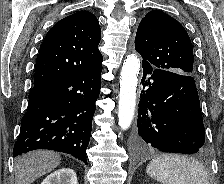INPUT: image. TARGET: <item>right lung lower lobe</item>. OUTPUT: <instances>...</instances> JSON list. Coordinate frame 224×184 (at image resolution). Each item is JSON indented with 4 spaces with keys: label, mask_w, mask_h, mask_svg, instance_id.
Instances as JSON below:
<instances>
[{
    "label": "right lung lower lobe",
    "mask_w": 224,
    "mask_h": 184,
    "mask_svg": "<svg viewBox=\"0 0 224 184\" xmlns=\"http://www.w3.org/2000/svg\"><path fill=\"white\" fill-rule=\"evenodd\" d=\"M102 66L94 71L34 84L13 156L35 149L65 152L87 164Z\"/></svg>",
    "instance_id": "98d812e1"
}]
</instances>
